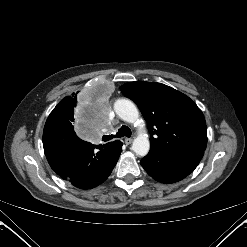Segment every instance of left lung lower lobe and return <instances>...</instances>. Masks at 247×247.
Masks as SVG:
<instances>
[{
  "label": "left lung lower lobe",
  "instance_id": "1",
  "mask_svg": "<svg viewBox=\"0 0 247 247\" xmlns=\"http://www.w3.org/2000/svg\"><path fill=\"white\" fill-rule=\"evenodd\" d=\"M203 154L204 150L194 148L175 151L150 148L149 153L141 160V165L155 180L173 183L192 173Z\"/></svg>",
  "mask_w": 247,
  "mask_h": 247
}]
</instances>
